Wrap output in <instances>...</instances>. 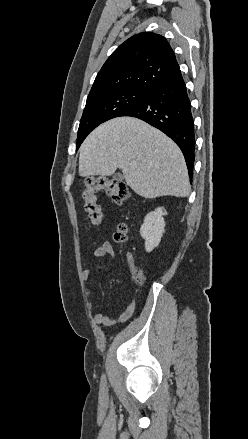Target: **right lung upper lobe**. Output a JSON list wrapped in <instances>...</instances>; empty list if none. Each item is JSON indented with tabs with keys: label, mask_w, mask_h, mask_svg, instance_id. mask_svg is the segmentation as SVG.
<instances>
[{
	"label": "right lung upper lobe",
	"mask_w": 248,
	"mask_h": 439,
	"mask_svg": "<svg viewBox=\"0 0 248 439\" xmlns=\"http://www.w3.org/2000/svg\"><path fill=\"white\" fill-rule=\"evenodd\" d=\"M180 74L174 51L165 37L149 32L136 34L104 63L87 101L126 89L149 93Z\"/></svg>",
	"instance_id": "obj_1"
}]
</instances>
